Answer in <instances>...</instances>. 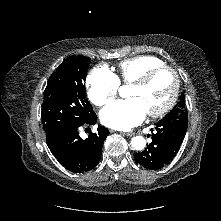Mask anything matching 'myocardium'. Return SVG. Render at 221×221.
I'll return each mask as SVG.
<instances>
[{
  "mask_svg": "<svg viewBox=\"0 0 221 221\" xmlns=\"http://www.w3.org/2000/svg\"><path fill=\"white\" fill-rule=\"evenodd\" d=\"M163 71H168L173 75L174 86H173L172 93L168 101L165 103V105L162 106L158 110L148 112V115L152 118H158L167 114L175 105L179 96V92H180V77H179L178 72L171 66L161 65V66L149 69L142 76H140L138 79H136L132 83V86L143 87L146 84H148L158 73L163 72Z\"/></svg>",
  "mask_w": 221,
  "mask_h": 221,
  "instance_id": "myocardium-1",
  "label": "myocardium"
}]
</instances>
